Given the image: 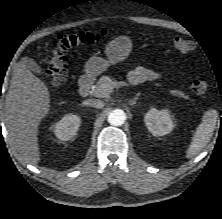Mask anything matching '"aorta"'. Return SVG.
Wrapping results in <instances>:
<instances>
[{"mask_svg": "<svg viewBox=\"0 0 222 219\" xmlns=\"http://www.w3.org/2000/svg\"><path fill=\"white\" fill-rule=\"evenodd\" d=\"M126 120V114L121 109H115L108 115V122L113 126H121Z\"/></svg>", "mask_w": 222, "mask_h": 219, "instance_id": "1", "label": "aorta"}]
</instances>
